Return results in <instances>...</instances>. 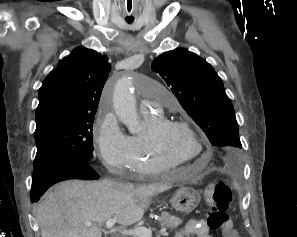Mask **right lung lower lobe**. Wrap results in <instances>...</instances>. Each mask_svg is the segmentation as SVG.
<instances>
[{"instance_id": "98d812e1", "label": "right lung lower lobe", "mask_w": 297, "mask_h": 237, "mask_svg": "<svg viewBox=\"0 0 297 237\" xmlns=\"http://www.w3.org/2000/svg\"><path fill=\"white\" fill-rule=\"evenodd\" d=\"M100 176L83 160L58 161L48 167L42 182L31 187V201L38 200L52 185L70 179L97 180Z\"/></svg>"}]
</instances>
